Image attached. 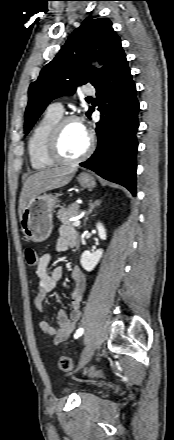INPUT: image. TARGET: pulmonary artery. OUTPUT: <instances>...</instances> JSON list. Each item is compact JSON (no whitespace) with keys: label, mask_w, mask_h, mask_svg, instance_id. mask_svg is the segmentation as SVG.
Segmentation results:
<instances>
[{"label":"pulmonary artery","mask_w":174,"mask_h":440,"mask_svg":"<svg viewBox=\"0 0 174 440\" xmlns=\"http://www.w3.org/2000/svg\"><path fill=\"white\" fill-rule=\"evenodd\" d=\"M83 93L86 95H92L95 93V88L92 86H86L83 89ZM47 111H49L52 114L62 116L64 112L63 105L60 102H54L48 106Z\"/></svg>","instance_id":"1"}]
</instances>
